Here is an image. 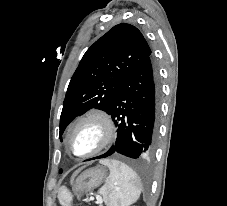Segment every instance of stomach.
<instances>
[{
  "label": "stomach",
  "mask_w": 227,
  "mask_h": 206,
  "mask_svg": "<svg viewBox=\"0 0 227 206\" xmlns=\"http://www.w3.org/2000/svg\"><path fill=\"white\" fill-rule=\"evenodd\" d=\"M105 179L106 170L104 168L93 167L87 169L77 177L73 185V191L79 195L90 192L99 187Z\"/></svg>",
  "instance_id": "1"
}]
</instances>
